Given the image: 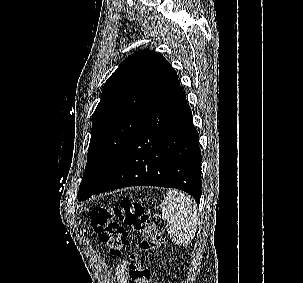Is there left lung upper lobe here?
Masks as SVG:
<instances>
[{
	"mask_svg": "<svg viewBox=\"0 0 303 283\" xmlns=\"http://www.w3.org/2000/svg\"><path fill=\"white\" fill-rule=\"evenodd\" d=\"M170 70L159 53L139 50L105 82L92 115L88 160L78 194L97 189L111 175Z\"/></svg>",
	"mask_w": 303,
	"mask_h": 283,
	"instance_id": "5c2ea615",
	"label": "left lung upper lobe"
}]
</instances>
